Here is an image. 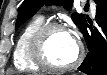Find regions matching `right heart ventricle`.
Here are the masks:
<instances>
[{"label": "right heart ventricle", "instance_id": "obj_1", "mask_svg": "<svg viewBox=\"0 0 107 75\" xmlns=\"http://www.w3.org/2000/svg\"><path fill=\"white\" fill-rule=\"evenodd\" d=\"M43 24L44 18L36 16L26 24L20 33L13 53V62L18 70L36 72L42 69L29 54V40L32 34Z\"/></svg>", "mask_w": 107, "mask_h": 75}]
</instances>
